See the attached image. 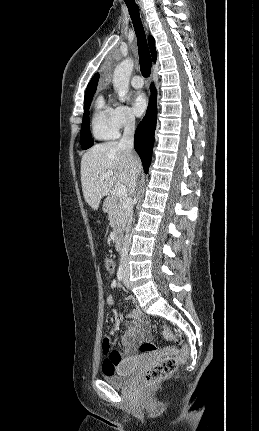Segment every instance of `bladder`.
I'll list each match as a JSON object with an SVG mask.
<instances>
[{"label": "bladder", "mask_w": 259, "mask_h": 431, "mask_svg": "<svg viewBox=\"0 0 259 431\" xmlns=\"http://www.w3.org/2000/svg\"><path fill=\"white\" fill-rule=\"evenodd\" d=\"M137 369L138 363L131 361L121 364L112 372H104L102 377L107 383L113 386H123L130 380Z\"/></svg>", "instance_id": "1"}]
</instances>
